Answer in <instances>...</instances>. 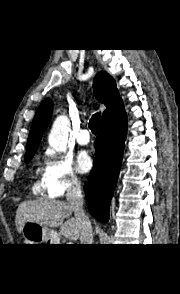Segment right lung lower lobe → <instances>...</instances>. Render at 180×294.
I'll return each mask as SVG.
<instances>
[{"instance_id": "1", "label": "right lung lower lobe", "mask_w": 180, "mask_h": 294, "mask_svg": "<svg viewBox=\"0 0 180 294\" xmlns=\"http://www.w3.org/2000/svg\"><path fill=\"white\" fill-rule=\"evenodd\" d=\"M126 131L127 117L121 102L102 117L95 141L94 167L84 186L88 209L102 222L109 220V205L120 171Z\"/></svg>"}]
</instances>
